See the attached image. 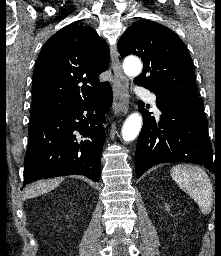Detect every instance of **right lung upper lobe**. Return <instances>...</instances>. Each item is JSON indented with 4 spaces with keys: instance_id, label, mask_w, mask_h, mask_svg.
I'll use <instances>...</instances> for the list:
<instances>
[{
    "instance_id": "right-lung-upper-lobe-1",
    "label": "right lung upper lobe",
    "mask_w": 221,
    "mask_h": 256,
    "mask_svg": "<svg viewBox=\"0 0 221 256\" xmlns=\"http://www.w3.org/2000/svg\"><path fill=\"white\" fill-rule=\"evenodd\" d=\"M109 66V47L92 27L73 23L42 47L32 84L30 121L90 100L106 88L98 76Z\"/></svg>"
}]
</instances>
